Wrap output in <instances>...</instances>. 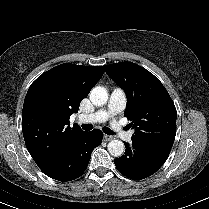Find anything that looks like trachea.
<instances>
[{"label": "trachea", "instance_id": "3493384b", "mask_svg": "<svg viewBox=\"0 0 209 209\" xmlns=\"http://www.w3.org/2000/svg\"><path fill=\"white\" fill-rule=\"evenodd\" d=\"M82 128L86 131H90V130L93 129V125L92 124H83ZM102 130L107 135H113L114 134V132L108 127H103Z\"/></svg>", "mask_w": 209, "mask_h": 209}]
</instances>
